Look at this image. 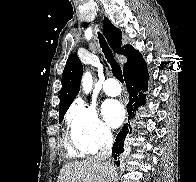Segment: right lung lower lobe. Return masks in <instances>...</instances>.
I'll list each match as a JSON object with an SVG mask.
<instances>
[{
    "label": "right lung lower lobe",
    "mask_w": 196,
    "mask_h": 182,
    "mask_svg": "<svg viewBox=\"0 0 196 182\" xmlns=\"http://www.w3.org/2000/svg\"><path fill=\"white\" fill-rule=\"evenodd\" d=\"M124 79L127 86V91L130 95V100L127 105L129 119L132 118L134 111L141 105L145 104L146 95L139 93L141 90L148 88L149 74L147 71L146 63L143 58H140L133 65L128 67L124 72ZM129 133V125L125 124L122 130L116 137V141L112 148L114 162L117 166L120 162L117 160L119 154L124 151V140Z\"/></svg>",
    "instance_id": "obj_1"
}]
</instances>
